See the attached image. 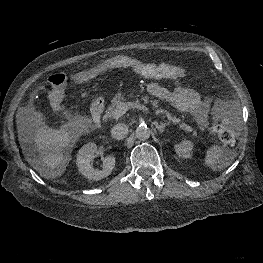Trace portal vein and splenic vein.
Segmentation results:
<instances>
[{"instance_id":"1","label":"portal vein and splenic vein","mask_w":263,"mask_h":263,"mask_svg":"<svg viewBox=\"0 0 263 263\" xmlns=\"http://www.w3.org/2000/svg\"><path fill=\"white\" fill-rule=\"evenodd\" d=\"M130 108H137V109H140V110H143V111H146L148 112L149 109L144 106V105H141L137 102H119L115 111H114V115H113V118L114 119H119L121 116H123Z\"/></svg>"}]
</instances>
